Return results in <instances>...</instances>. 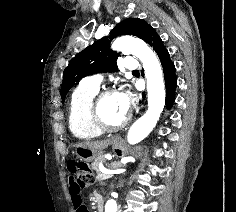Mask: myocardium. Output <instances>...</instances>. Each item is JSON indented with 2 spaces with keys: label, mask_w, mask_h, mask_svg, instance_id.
I'll list each match as a JSON object with an SVG mask.
<instances>
[{
  "label": "myocardium",
  "mask_w": 236,
  "mask_h": 212,
  "mask_svg": "<svg viewBox=\"0 0 236 212\" xmlns=\"http://www.w3.org/2000/svg\"><path fill=\"white\" fill-rule=\"evenodd\" d=\"M114 93H115L114 89L104 88L96 93L91 103V111L94 122L103 132L119 131L123 129L129 122V118L125 117L121 122L117 124H110L103 117L100 109L101 102L105 97Z\"/></svg>",
  "instance_id": "f54148a6"
}]
</instances>
